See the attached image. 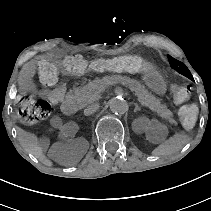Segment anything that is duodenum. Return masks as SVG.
I'll return each instance as SVG.
<instances>
[{
	"mask_svg": "<svg viewBox=\"0 0 211 211\" xmlns=\"http://www.w3.org/2000/svg\"><path fill=\"white\" fill-rule=\"evenodd\" d=\"M61 110L67 115H72L77 110V105L74 100L67 98L61 104Z\"/></svg>",
	"mask_w": 211,
	"mask_h": 211,
	"instance_id": "duodenum-1",
	"label": "duodenum"
}]
</instances>
